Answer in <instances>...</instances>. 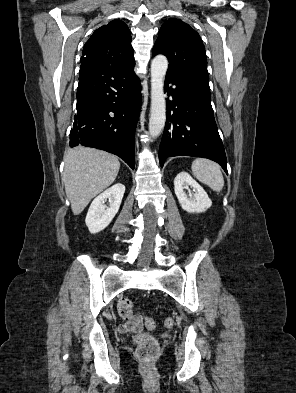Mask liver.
I'll use <instances>...</instances> for the list:
<instances>
[{
  "mask_svg": "<svg viewBox=\"0 0 296 393\" xmlns=\"http://www.w3.org/2000/svg\"><path fill=\"white\" fill-rule=\"evenodd\" d=\"M64 163L62 180L74 215L80 214L91 199L109 187L120 169L114 155L81 146L69 150Z\"/></svg>",
  "mask_w": 296,
  "mask_h": 393,
  "instance_id": "1",
  "label": "liver"
}]
</instances>
